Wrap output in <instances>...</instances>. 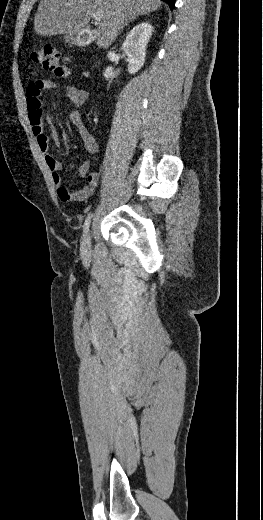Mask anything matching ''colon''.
Segmentation results:
<instances>
[{
    "label": "colon",
    "instance_id": "obj_1",
    "mask_svg": "<svg viewBox=\"0 0 263 520\" xmlns=\"http://www.w3.org/2000/svg\"><path fill=\"white\" fill-rule=\"evenodd\" d=\"M32 61L46 71L53 72L56 76L66 77L70 70L66 59L50 45H44L31 53Z\"/></svg>",
    "mask_w": 263,
    "mask_h": 520
}]
</instances>
